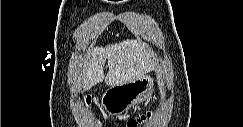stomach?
<instances>
[{
    "label": "stomach",
    "instance_id": "1",
    "mask_svg": "<svg viewBox=\"0 0 243 127\" xmlns=\"http://www.w3.org/2000/svg\"><path fill=\"white\" fill-rule=\"evenodd\" d=\"M154 90V78L144 74L124 84L110 86L101 97V106L111 116L127 112L131 107L147 101Z\"/></svg>",
    "mask_w": 243,
    "mask_h": 127
}]
</instances>
